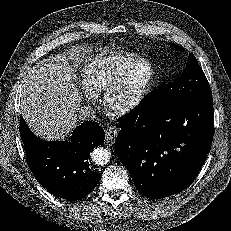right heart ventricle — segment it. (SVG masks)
Returning a JSON list of instances; mask_svg holds the SVG:
<instances>
[{
    "mask_svg": "<svg viewBox=\"0 0 231 231\" xmlns=\"http://www.w3.org/2000/svg\"><path fill=\"white\" fill-rule=\"evenodd\" d=\"M141 58L134 54L106 53L86 62L80 70V85L84 91L98 97Z\"/></svg>",
    "mask_w": 231,
    "mask_h": 231,
    "instance_id": "1",
    "label": "right heart ventricle"
}]
</instances>
